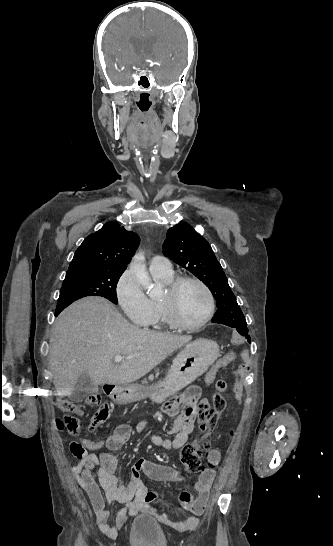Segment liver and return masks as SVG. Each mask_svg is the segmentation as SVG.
<instances>
[{
  "label": "liver",
  "instance_id": "liver-1",
  "mask_svg": "<svg viewBox=\"0 0 333 546\" xmlns=\"http://www.w3.org/2000/svg\"><path fill=\"white\" fill-rule=\"evenodd\" d=\"M192 340L155 333L129 323L104 298L76 301L57 317L51 336L50 367L57 390L70 394L80 375L94 385L129 384ZM116 355L130 357L114 363Z\"/></svg>",
  "mask_w": 333,
  "mask_h": 546
}]
</instances>
